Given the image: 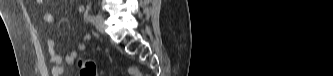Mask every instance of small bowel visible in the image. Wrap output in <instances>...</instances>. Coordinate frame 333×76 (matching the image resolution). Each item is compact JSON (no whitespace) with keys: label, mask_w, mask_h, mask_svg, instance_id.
I'll use <instances>...</instances> for the list:
<instances>
[{"label":"small bowel","mask_w":333,"mask_h":76,"mask_svg":"<svg viewBox=\"0 0 333 76\" xmlns=\"http://www.w3.org/2000/svg\"><path fill=\"white\" fill-rule=\"evenodd\" d=\"M46 0H37L36 3L38 5H45ZM85 10L84 5H80L78 7V11L83 13ZM46 23H53L55 18L52 14H45L43 17ZM91 40V35L86 34L82 37V40L77 44L76 48L70 51L67 55L61 56L55 49L56 42L54 40H49L47 42L48 53L50 62L52 63V75L53 76H61L63 74V64L71 65L77 58V56L86 49V44Z\"/></svg>","instance_id":"obj_1"}]
</instances>
